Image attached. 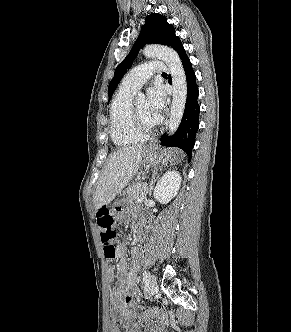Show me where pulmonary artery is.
I'll return each instance as SVG.
<instances>
[{
    "instance_id": "e3ab8cb5",
    "label": "pulmonary artery",
    "mask_w": 291,
    "mask_h": 332,
    "mask_svg": "<svg viewBox=\"0 0 291 332\" xmlns=\"http://www.w3.org/2000/svg\"><path fill=\"white\" fill-rule=\"evenodd\" d=\"M167 71L164 62L151 61L132 69L122 80L121 88L136 92L155 73L163 74Z\"/></svg>"
}]
</instances>
